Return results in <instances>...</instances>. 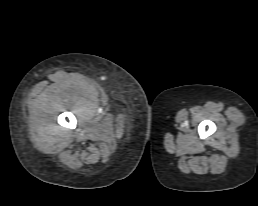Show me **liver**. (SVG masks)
Listing matches in <instances>:
<instances>
[{"label": "liver", "instance_id": "obj_1", "mask_svg": "<svg viewBox=\"0 0 258 206\" xmlns=\"http://www.w3.org/2000/svg\"><path fill=\"white\" fill-rule=\"evenodd\" d=\"M46 95V93H42V96L44 97Z\"/></svg>", "mask_w": 258, "mask_h": 206}]
</instances>
